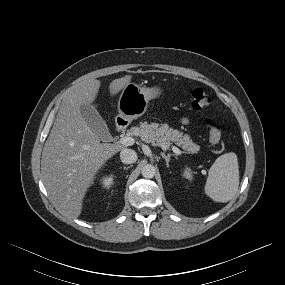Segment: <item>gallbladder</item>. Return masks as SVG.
Returning a JSON list of instances; mask_svg holds the SVG:
<instances>
[{
  "label": "gallbladder",
  "mask_w": 285,
  "mask_h": 285,
  "mask_svg": "<svg viewBox=\"0 0 285 285\" xmlns=\"http://www.w3.org/2000/svg\"><path fill=\"white\" fill-rule=\"evenodd\" d=\"M80 111L89 128L100 140L106 142L111 140V134L105 121L93 106L90 104L83 105L81 106Z\"/></svg>",
  "instance_id": "gallbladder-1"
}]
</instances>
